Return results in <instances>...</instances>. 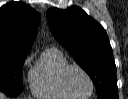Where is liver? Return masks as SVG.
<instances>
[{
  "instance_id": "1",
  "label": "liver",
  "mask_w": 128,
  "mask_h": 99,
  "mask_svg": "<svg viewBox=\"0 0 128 99\" xmlns=\"http://www.w3.org/2000/svg\"><path fill=\"white\" fill-rule=\"evenodd\" d=\"M0 99H6V97L3 93H0Z\"/></svg>"
}]
</instances>
